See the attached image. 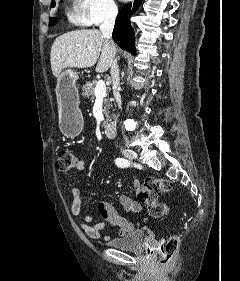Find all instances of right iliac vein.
Returning a JSON list of instances; mask_svg holds the SVG:
<instances>
[{
  "label": "right iliac vein",
  "instance_id": "1",
  "mask_svg": "<svg viewBox=\"0 0 240 281\" xmlns=\"http://www.w3.org/2000/svg\"><path fill=\"white\" fill-rule=\"evenodd\" d=\"M121 153L129 159H136L138 157L137 153L133 150L127 149V148H123L121 149Z\"/></svg>",
  "mask_w": 240,
  "mask_h": 281
}]
</instances>
